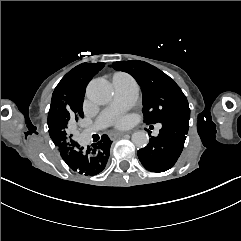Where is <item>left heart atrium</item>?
Here are the masks:
<instances>
[{
  "label": "left heart atrium",
  "instance_id": "left-heart-atrium-1",
  "mask_svg": "<svg viewBox=\"0 0 241 241\" xmlns=\"http://www.w3.org/2000/svg\"><path fill=\"white\" fill-rule=\"evenodd\" d=\"M131 120L129 117H123V118H119L116 119L114 122V125L118 128H126L130 125Z\"/></svg>",
  "mask_w": 241,
  "mask_h": 241
}]
</instances>
